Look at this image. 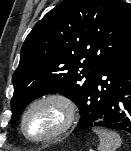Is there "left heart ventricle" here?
<instances>
[{
	"mask_svg": "<svg viewBox=\"0 0 131 151\" xmlns=\"http://www.w3.org/2000/svg\"><path fill=\"white\" fill-rule=\"evenodd\" d=\"M62 110L53 104H44L31 111L26 119V131L32 137H43L62 122Z\"/></svg>",
	"mask_w": 131,
	"mask_h": 151,
	"instance_id": "obj_1",
	"label": "left heart ventricle"
}]
</instances>
